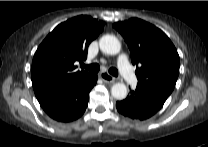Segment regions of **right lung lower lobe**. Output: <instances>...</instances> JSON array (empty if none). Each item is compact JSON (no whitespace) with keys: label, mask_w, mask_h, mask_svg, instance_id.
<instances>
[{"label":"right lung lower lobe","mask_w":208,"mask_h":147,"mask_svg":"<svg viewBox=\"0 0 208 147\" xmlns=\"http://www.w3.org/2000/svg\"><path fill=\"white\" fill-rule=\"evenodd\" d=\"M97 75H89L69 91L39 101L43 110L53 119L70 122L79 118L88 105L89 92L97 82Z\"/></svg>","instance_id":"right-lung-lower-lobe-1"}]
</instances>
